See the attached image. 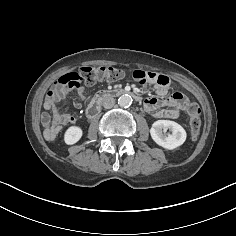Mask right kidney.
<instances>
[{
    "label": "right kidney",
    "instance_id": "1",
    "mask_svg": "<svg viewBox=\"0 0 236 236\" xmlns=\"http://www.w3.org/2000/svg\"><path fill=\"white\" fill-rule=\"evenodd\" d=\"M82 135L83 131L79 126H71L64 134L65 143L68 145L75 144L81 139Z\"/></svg>",
    "mask_w": 236,
    "mask_h": 236
}]
</instances>
